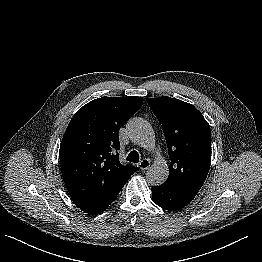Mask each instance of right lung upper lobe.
Listing matches in <instances>:
<instances>
[{"mask_svg": "<svg viewBox=\"0 0 262 262\" xmlns=\"http://www.w3.org/2000/svg\"><path fill=\"white\" fill-rule=\"evenodd\" d=\"M143 104L142 97H102L71 119L61 141L60 166L67 190L79 207L104 206L113 201L133 165L119 161V130Z\"/></svg>", "mask_w": 262, "mask_h": 262, "instance_id": "1", "label": "right lung upper lobe"}]
</instances>
